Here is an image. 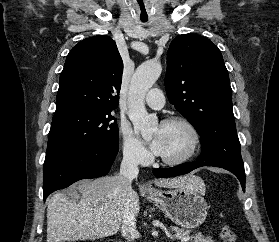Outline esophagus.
Masks as SVG:
<instances>
[{
	"mask_svg": "<svg viewBox=\"0 0 279 242\" xmlns=\"http://www.w3.org/2000/svg\"><path fill=\"white\" fill-rule=\"evenodd\" d=\"M143 189H144L145 191H152V190H153V187H152L150 184H145V185L143 186Z\"/></svg>",
	"mask_w": 279,
	"mask_h": 242,
	"instance_id": "esophagus-1",
	"label": "esophagus"
}]
</instances>
